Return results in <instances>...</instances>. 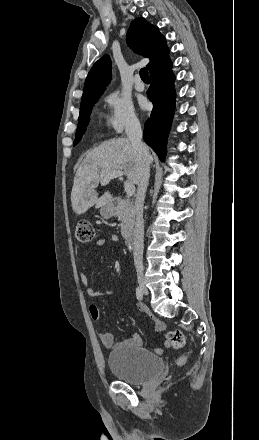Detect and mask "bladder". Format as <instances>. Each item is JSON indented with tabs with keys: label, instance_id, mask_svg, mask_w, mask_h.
<instances>
[{
	"label": "bladder",
	"instance_id": "31cf9c89",
	"mask_svg": "<svg viewBox=\"0 0 259 440\" xmlns=\"http://www.w3.org/2000/svg\"><path fill=\"white\" fill-rule=\"evenodd\" d=\"M112 374L130 384H144L158 376L164 368L163 360L150 351L122 346L114 349L107 358Z\"/></svg>",
	"mask_w": 259,
	"mask_h": 440
}]
</instances>
